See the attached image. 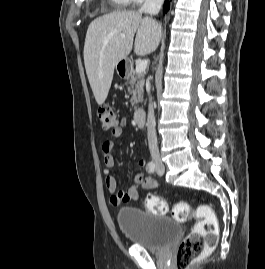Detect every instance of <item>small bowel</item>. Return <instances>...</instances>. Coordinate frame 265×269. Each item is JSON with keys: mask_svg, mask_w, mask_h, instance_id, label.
<instances>
[{"mask_svg": "<svg viewBox=\"0 0 265 269\" xmlns=\"http://www.w3.org/2000/svg\"><path fill=\"white\" fill-rule=\"evenodd\" d=\"M127 125L126 119H122L120 125L112 130L111 137L105 139L101 145V151L105 164L104 174L106 176L105 184L107 190L112 194L111 203L114 206H118L124 202L136 201L139 198V187L146 190H153L158 187V182L151 176L141 172L135 176L134 183L127 190L117 191V185L115 178L110 174V169L115 164V158L113 155L114 140L120 138L123 133V128ZM138 165L144 167L146 165L145 159L138 160Z\"/></svg>", "mask_w": 265, "mask_h": 269, "instance_id": "obj_1", "label": "small bowel"}]
</instances>
